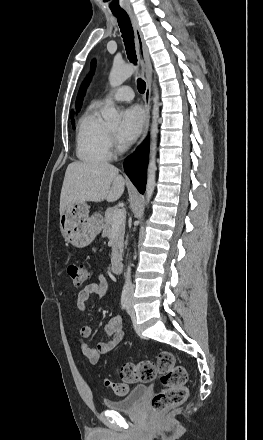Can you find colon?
Returning <instances> with one entry per match:
<instances>
[{"label": "colon", "mask_w": 263, "mask_h": 440, "mask_svg": "<svg viewBox=\"0 0 263 440\" xmlns=\"http://www.w3.org/2000/svg\"><path fill=\"white\" fill-rule=\"evenodd\" d=\"M67 273L75 286H81L89 278V269L81 263H70ZM118 376L126 383H148L159 374L164 388L151 400L150 406L154 413H162L185 402L188 396L187 371L178 364L172 353L162 351L157 355L156 363L150 360L129 362L117 368ZM104 385L118 395L128 391L124 383L104 380Z\"/></svg>", "instance_id": "colon-1"}]
</instances>
